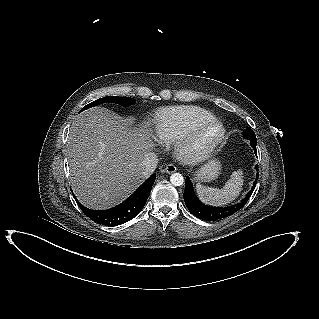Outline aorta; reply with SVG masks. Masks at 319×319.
Returning <instances> with one entry per match:
<instances>
[{"instance_id": "aorta-1", "label": "aorta", "mask_w": 319, "mask_h": 319, "mask_svg": "<svg viewBox=\"0 0 319 319\" xmlns=\"http://www.w3.org/2000/svg\"><path fill=\"white\" fill-rule=\"evenodd\" d=\"M170 181L174 186H181L184 183V178L180 173H174L170 176Z\"/></svg>"}]
</instances>
